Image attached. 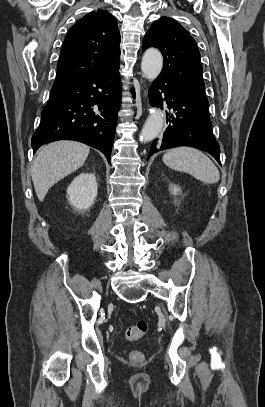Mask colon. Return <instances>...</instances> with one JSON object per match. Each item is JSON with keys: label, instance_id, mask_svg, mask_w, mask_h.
<instances>
[{"label": "colon", "instance_id": "5ec220e1", "mask_svg": "<svg viewBox=\"0 0 265 407\" xmlns=\"http://www.w3.org/2000/svg\"><path fill=\"white\" fill-rule=\"evenodd\" d=\"M147 329L148 324L146 321H138L135 324L125 328V335L129 340H139L146 334ZM129 358L134 362H142L144 355L141 351H132L129 354Z\"/></svg>", "mask_w": 265, "mask_h": 407}]
</instances>
